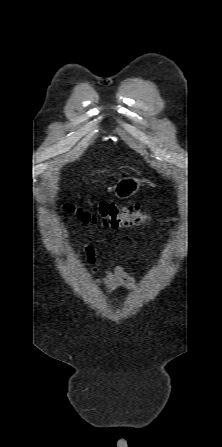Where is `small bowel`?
I'll return each mask as SVG.
<instances>
[{"label": "small bowel", "mask_w": 222, "mask_h": 447, "mask_svg": "<svg viewBox=\"0 0 222 447\" xmlns=\"http://www.w3.org/2000/svg\"><path fill=\"white\" fill-rule=\"evenodd\" d=\"M86 252L88 263L91 265L92 271L100 273V277L97 279V284L108 294H114L119 290L132 291L135 289L136 282L134 278L120 266H112L101 270L95 266L96 258L93 247L87 246Z\"/></svg>", "instance_id": "small-bowel-1"}]
</instances>
